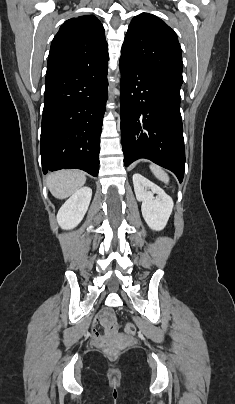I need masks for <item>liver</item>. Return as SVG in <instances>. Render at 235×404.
<instances>
[{"instance_id": "6515ba94", "label": "liver", "mask_w": 235, "mask_h": 404, "mask_svg": "<svg viewBox=\"0 0 235 404\" xmlns=\"http://www.w3.org/2000/svg\"><path fill=\"white\" fill-rule=\"evenodd\" d=\"M86 182V176L80 170H60L47 177V187L57 199H65L80 189Z\"/></svg>"}]
</instances>
